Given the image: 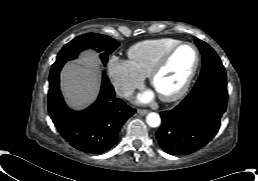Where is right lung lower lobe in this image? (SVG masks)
Instances as JSON below:
<instances>
[{"instance_id":"1","label":"right lung lower lobe","mask_w":258,"mask_h":181,"mask_svg":"<svg viewBox=\"0 0 258 181\" xmlns=\"http://www.w3.org/2000/svg\"><path fill=\"white\" fill-rule=\"evenodd\" d=\"M64 62H55L49 76L48 111L62 137L77 150L101 154L110 150L117 135L136 110L115 97L114 89L104 74L97 101L86 110L69 109L59 88V73Z\"/></svg>"}]
</instances>
